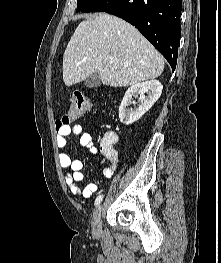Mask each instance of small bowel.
I'll use <instances>...</instances> for the list:
<instances>
[{
    "instance_id": "c3829d8e",
    "label": "small bowel",
    "mask_w": 221,
    "mask_h": 263,
    "mask_svg": "<svg viewBox=\"0 0 221 263\" xmlns=\"http://www.w3.org/2000/svg\"><path fill=\"white\" fill-rule=\"evenodd\" d=\"M79 136L80 145L87 148L94 155L102 156V163H108L107 166L101 168L100 173L105 178H111L118 163V153L114 148L118 140V136L114 131L105 132L98 145L95 144L93 135L84 132L81 125L61 128L56 136V145L62 149L67 144L69 135ZM59 164L65 169L64 181L69 191L74 195H82L84 198H90L96 191L95 183H87L84 187H80L79 183L84 180L82 172L83 163L80 159H73L69 154L60 152Z\"/></svg>"
}]
</instances>
